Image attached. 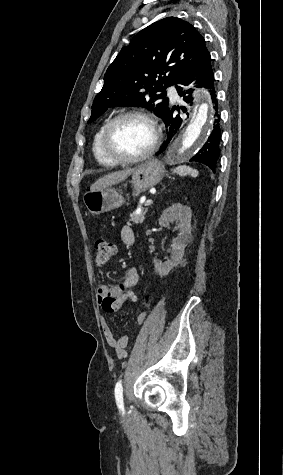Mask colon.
<instances>
[{"label":"colon","mask_w":283,"mask_h":475,"mask_svg":"<svg viewBox=\"0 0 283 475\" xmlns=\"http://www.w3.org/2000/svg\"><path fill=\"white\" fill-rule=\"evenodd\" d=\"M93 248L95 252V263L97 265L105 264L116 253V247L114 243L104 237L97 238L94 241ZM119 287L125 288L126 282L120 281ZM133 293H134V290L129 289L128 292L126 293V298L132 299ZM126 298L121 295L116 296L115 299L112 297H105L102 301V305L105 308V312L107 314H116L118 312V309L123 308L124 306L123 302L126 301Z\"/></svg>","instance_id":"5ec220e1"}]
</instances>
